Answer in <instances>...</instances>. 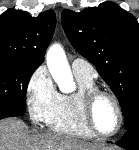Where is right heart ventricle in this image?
<instances>
[{"label": "right heart ventricle", "mask_w": 139, "mask_h": 150, "mask_svg": "<svg viewBox=\"0 0 139 150\" xmlns=\"http://www.w3.org/2000/svg\"><path fill=\"white\" fill-rule=\"evenodd\" d=\"M78 90L70 94H59L49 108L45 123L54 132L81 138L95 137L85 125L81 113V96L84 91L94 88L93 79L75 76Z\"/></svg>", "instance_id": "e07e8e85"}]
</instances>
